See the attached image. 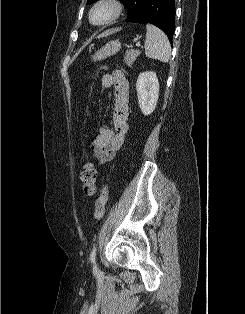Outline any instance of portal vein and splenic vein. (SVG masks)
Instances as JSON below:
<instances>
[{"instance_id":"obj_1","label":"portal vein and splenic vein","mask_w":245,"mask_h":314,"mask_svg":"<svg viewBox=\"0 0 245 314\" xmlns=\"http://www.w3.org/2000/svg\"><path fill=\"white\" fill-rule=\"evenodd\" d=\"M136 46H137L138 48L142 47L139 42L136 43Z\"/></svg>"}]
</instances>
